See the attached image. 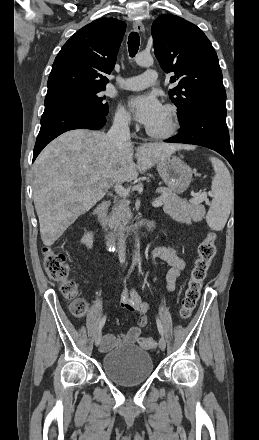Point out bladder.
<instances>
[{"instance_id":"31cf9c89","label":"bladder","mask_w":259,"mask_h":440,"mask_svg":"<svg viewBox=\"0 0 259 440\" xmlns=\"http://www.w3.org/2000/svg\"><path fill=\"white\" fill-rule=\"evenodd\" d=\"M102 369L113 382L132 386L145 382L153 373L151 355L136 345H123L102 359Z\"/></svg>"}]
</instances>
